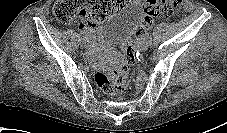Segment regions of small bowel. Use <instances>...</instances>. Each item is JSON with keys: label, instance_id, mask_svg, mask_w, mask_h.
Returning a JSON list of instances; mask_svg holds the SVG:
<instances>
[{"label": "small bowel", "instance_id": "c3829d8e", "mask_svg": "<svg viewBox=\"0 0 227 133\" xmlns=\"http://www.w3.org/2000/svg\"><path fill=\"white\" fill-rule=\"evenodd\" d=\"M79 27L82 30V32L84 33V35L87 36L90 40H92V35H93L95 24L94 23L85 24V23L80 22ZM140 33L141 32H138V34H140Z\"/></svg>", "mask_w": 227, "mask_h": 133}]
</instances>
